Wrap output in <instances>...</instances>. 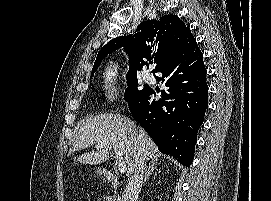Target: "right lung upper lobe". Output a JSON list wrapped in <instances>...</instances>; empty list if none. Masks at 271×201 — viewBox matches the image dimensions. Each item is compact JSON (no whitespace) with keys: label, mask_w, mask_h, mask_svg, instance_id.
I'll list each match as a JSON object with an SVG mask.
<instances>
[{"label":"right lung upper lobe","mask_w":271,"mask_h":201,"mask_svg":"<svg viewBox=\"0 0 271 201\" xmlns=\"http://www.w3.org/2000/svg\"><path fill=\"white\" fill-rule=\"evenodd\" d=\"M193 38L189 27L176 15H165L160 20H147L136 29L135 34L119 36L110 40L98 53L92 74L102 59L109 53L124 46L130 57V74L137 75L147 62L153 60L157 72L181 48L186 39Z\"/></svg>","instance_id":"cb5924a9"}]
</instances>
